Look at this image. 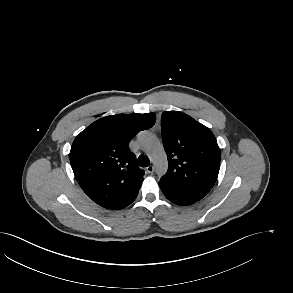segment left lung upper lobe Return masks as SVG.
Returning <instances> with one entry per match:
<instances>
[{"instance_id": "obj_1", "label": "left lung upper lobe", "mask_w": 293, "mask_h": 293, "mask_svg": "<svg viewBox=\"0 0 293 293\" xmlns=\"http://www.w3.org/2000/svg\"><path fill=\"white\" fill-rule=\"evenodd\" d=\"M161 130L168 171L159 183L205 196L215 184L220 168L221 153L213 133L178 111L162 113Z\"/></svg>"}]
</instances>
